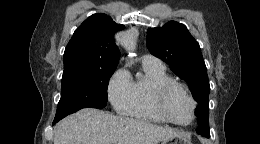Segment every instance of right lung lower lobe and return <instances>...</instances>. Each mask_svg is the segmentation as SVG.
<instances>
[{
	"label": "right lung lower lobe",
	"mask_w": 260,
	"mask_h": 144,
	"mask_svg": "<svg viewBox=\"0 0 260 144\" xmlns=\"http://www.w3.org/2000/svg\"><path fill=\"white\" fill-rule=\"evenodd\" d=\"M56 123V121H53V125Z\"/></svg>",
	"instance_id": "obj_1"
}]
</instances>
